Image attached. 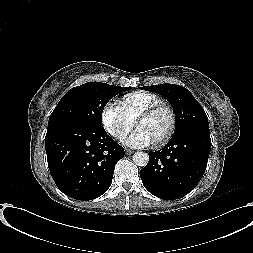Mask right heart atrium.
Returning a JSON list of instances; mask_svg holds the SVG:
<instances>
[{"instance_id": "1", "label": "right heart atrium", "mask_w": 253, "mask_h": 253, "mask_svg": "<svg viewBox=\"0 0 253 253\" xmlns=\"http://www.w3.org/2000/svg\"><path fill=\"white\" fill-rule=\"evenodd\" d=\"M101 121L105 130L118 140L124 139L134 126V120L116 101H111L104 106L101 112Z\"/></svg>"}]
</instances>
